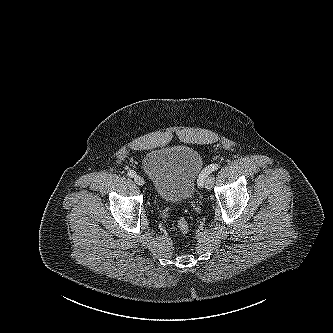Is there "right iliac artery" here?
I'll return each instance as SVG.
<instances>
[{
    "instance_id": "right-iliac-artery-1",
    "label": "right iliac artery",
    "mask_w": 333,
    "mask_h": 333,
    "mask_svg": "<svg viewBox=\"0 0 333 333\" xmlns=\"http://www.w3.org/2000/svg\"><path fill=\"white\" fill-rule=\"evenodd\" d=\"M135 174L136 173L133 170L128 171V176L131 177V178L134 177Z\"/></svg>"
}]
</instances>
